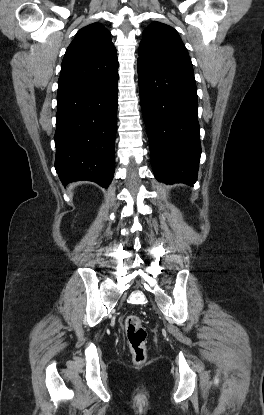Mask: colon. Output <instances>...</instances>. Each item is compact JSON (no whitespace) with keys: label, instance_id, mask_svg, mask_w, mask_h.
<instances>
[{"label":"colon","instance_id":"1","mask_svg":"<svg viewBox=\"0 0 264 415\" xmlns=\"http://www.w3.org/2000/svg\"><path fill=\"white\" fill-rule=\"evenodd\" d=\"M125 328L130 351L136 364H142L147 357V332L139 316L131 314L126 317Z\"/></svg>","mask_w":264,"mask_h":415}]
</instances>
